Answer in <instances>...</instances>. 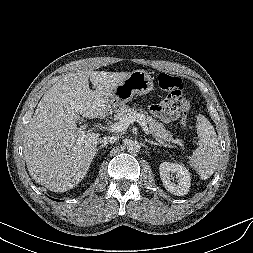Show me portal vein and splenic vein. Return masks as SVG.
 <instances>
[{"label":"portal vein and splenic vein","mask_w":253,"mask_h":253,"mask_svg":"<svg viewBox=\"0 0 253 253\" xmlns=\"http://www.w3.org/2000/svg\"><path fill=\"white\" fill-rule=\"evenodd\" d=\"M135 121L139 123V125L143 128V130L146 134H149V128H148L147 124L145 123V121L143 120V117L140 114H135V113L130 114L128 117L122 118L118 122L111 124L109 126V129L112 132H122L125 129H127L128 126ZM79 131L81 133L83 132L82 129H79ZM172 142L174 144L182 146V141L179 139L173 140Z\"/></svg>","instance_id":"obj_1"}]
</instances>
